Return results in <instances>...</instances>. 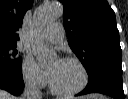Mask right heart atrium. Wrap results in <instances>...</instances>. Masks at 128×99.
I'll return each instance as SVG.
<instances>
[{
    "label": "right heart atrium",
    "instance_id": "right-heart-atrium-1",
    "mask_svg": "<svg viewBox=\"0 0 128 99\" xmlns=\"http://www.w3.org/2000/svg\"><path fill=\"white\" fill-rule=\"evenodd\" d=\"M22 78L26 86L31 89L44 88L48 82L46 73L29 56H26L22 62Z\"/></svg>",
    "mask_w": 128,
    "mask_h": 99
}]
</instances>
